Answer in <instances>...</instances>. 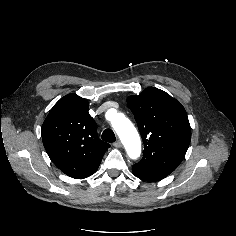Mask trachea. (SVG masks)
<instances>
[{
	"mask_svg": "<svg viewBox=\"0 0 236 236\" xmlns=\"http://www.w3.org/2000/svg\"><path fill=\"white\" fill-rule=\"evenodd\" d=\"M101 138L103 141L109 142V143L116 141L115 134L111 129H105L102 133Z\"/></svg>",
	"mask_w": 236,
	"mask_h": 236,
	"instance_id": "1",
	"label": "trachea"
}]
</instances>
